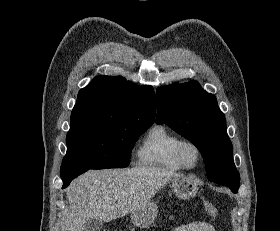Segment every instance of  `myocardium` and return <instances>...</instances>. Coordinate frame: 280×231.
<instances>
[{
    "label": "myocardium",
    "mask_w": 280,
    "mask_h": 231,
    "mask_svg": "<svg viewBox=\"0 0 280 231\" xmlns=\"http://www.w3.org/2000/svg\"><path fill=\"white\" fill-rule=\"evenodd\" d=\"M187 144L193 145L196 148V150L198 151V154H199V163L193 169L188 168L184 164L183 159H182V149ZM175 157H176L178 163L180 164V166L182 167V169L185 170V171H188V172H193V171L198 170L204 162V152H203L202 147L200 146V144L198 142H196L195 140L189 139V138H181L179 140V142L176 146V149H175Z\"/></svg>",
    "instance_id": "1"
}]
</instances>
